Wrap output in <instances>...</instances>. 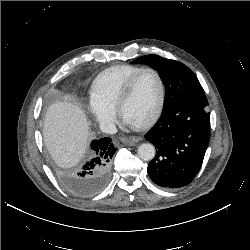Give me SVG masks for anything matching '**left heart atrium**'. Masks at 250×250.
Here are the masks:
<instances>
[{"instance_id": "1", "label": "left heart atrium", "mask_w": 250, "mask_h": 250, "mask_svg": "<svg viewBox=\"0 0 250 250\" xmlns=\"http://www.w3.org/2000/svg\"><path fill=\"white\" fill-rule=\"evenodd\" d=\"M124 124L126 125H130L127 121L123 120Z\"/></svg>"}]
</instances>
